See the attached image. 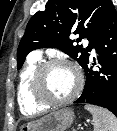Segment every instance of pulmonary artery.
<instances>
[{
  "mask_svg": "<svg viewBox=\"0 0 117 131\" xmlns=\"http://www.w3.org/2000/svg\"><path fill=\"white\" fill-rule=\"evenodd\" d=\"M93 53H95V51L93 50ZM40 57V53L39 52H33L31 54V58H39Z\"/></svg>",
  "mask_w": 117,
  "mask_h": 131,
  "instance_id": "pulmonary-artery-1",
  "label": "pulmonary artery"
}]
</instances>
